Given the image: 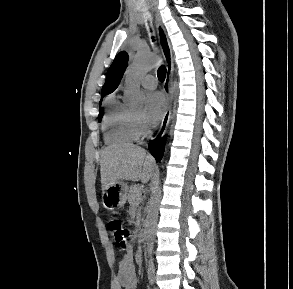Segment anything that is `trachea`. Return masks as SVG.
I'll list each match as a JSON object with an SVG mask.
<instances>
[{"label":"trachea","instance_id":"3493384b","mask_svg":"<svg viewBox=\"0 0 293 289\" xmlns=\"http://www.w3.org/2000/svg\"><path fill=\"white\" fill-rule=\"evenodd\" d=\"M152 39H153V37H152ZM157 76H158V78H159V80L161 82H163L165 80V76H166V68H165V66H163V65L160 66V68L158 69V72H157Z\"/></svg>","mask_w":293,"mask_h":289}]
</instances>
